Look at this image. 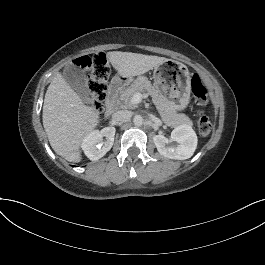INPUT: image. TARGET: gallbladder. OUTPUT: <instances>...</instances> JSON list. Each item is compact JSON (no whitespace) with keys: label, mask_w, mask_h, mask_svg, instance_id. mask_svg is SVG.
I'll return each mask as SVG.
<instances>
[{"label":"gallbladder","mask_w":265,"mask_h":265,"mask_svg":"<svg viewBox=\"0 0 265 265\" xmlns=\"http://www.w3.org/2000/svg\"><path fill=\"white\" fill-rule=\"evenodd\" d=\"M64 77L83 97L87 95L89 88L86 83L85 72L82 69L69 64L65 67Z\"/></svg>","instance_id":"1"}]
</instances>
